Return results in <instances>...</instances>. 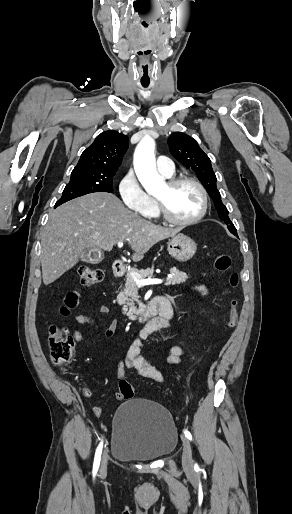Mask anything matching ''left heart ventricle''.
Wrapping results in <instances>:
<instances>
[{"instance_id":"left-heart-ventricle-1","label":"left heart ventricle","mask_w":292,"mask_h":514,"mask_svg":"<svg viewBox=\"0 0 292 514\" xmlns=\"http://www.w3.org/2000/svg\"><path fill=\"white\" fill-rule=\"evenodd\" d=\"M153 196L165 204L172 217L179 220L192 218L200 208L199 193L189 184L172 189L166 184Z\"/></svg>"}]
</instances>
